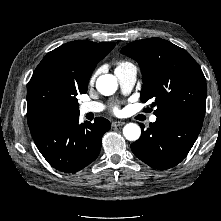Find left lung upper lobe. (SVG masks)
<instances>
[{
  "label": "left lung upper lobe",
  "mask_w": 221,
  "mask_h": 221,
  "mask_svg": "<svg viewBox=\"0 0 221 221\" xmlns=\"http://www.w3.org/2000/svg\"><path fill=\"white\" fill-rule=\"evenodd\" d=\"M121 53L136 60L141 68L143 103L152 99L154 114L204 119L207 86L204 74L184 49L161 38L129 43Z\"/></svg>",
  "instance_id": "obj_1"
}]
</instances>
